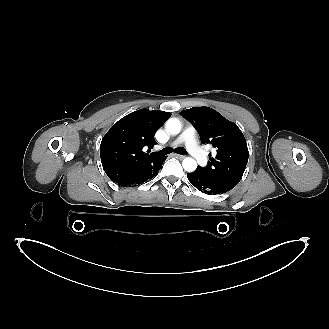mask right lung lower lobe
Instances as JSON below:
<instances>
[{
	"mask_svg": "<svg viewBox=\"0 0 329 329\" xmlns=\"http://www.w3.org/2000/svg\"><path fill=\"white\" fill-rule=\"evenodd\" d=\"M165 159H166L165 156L160 158L158 161H156L153 165H151L148 169L143 171L141 174L129 179L128 181L118 183V185L123 187H132V186L143 184L148 180H151L153 177H155L158 174V171L161 168Z\"/></svg>",
	"mask_w": 329,
	"mask_h": 329,
	"instance_id": "obj_1",
	"label": "right lung lower lobe"
}]
</instances>
